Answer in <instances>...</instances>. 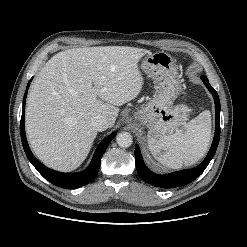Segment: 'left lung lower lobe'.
Listing matches in <instances>:
<instances>
[{
    "label": "left lung lower lobe",
    "mask_w": 247,
    "mask_h": 247,
    "mask_svg": "<svg viewBox=\"0 0 247 247\" xmlns=\"http://www.w3.org/2000/svg\"><path fill=\"white\" fill-rule=\"evenodd\" d=\"M201 80L213 95L215 101V135L211 148L201 164L191 169H185L170 174L158 175L150 171L142 159L138 145L135 146L136 168L139 176L147 183L161 188H176L186 185L195 180L208 166L213 158L220 139V101L217 92L209 84L206 76L202 75Z\"/></svg>",
    "instance_id": "obj_1"
}]
</instances>
